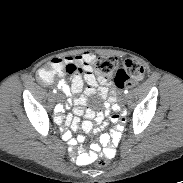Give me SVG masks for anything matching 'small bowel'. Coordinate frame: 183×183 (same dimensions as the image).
<instances>
[{
    "label": "small bowel",
    "instance_id": "c3829d8e",
    "mask_svg": "<svg viewBox=\"0 0 183 183\" xmlns=\"http://www.w3.org/2000/svg\"><path fill=\"white\" fill-rule=\"evenodd\" d=\"M96 62V56L91 52H84L77 56H68L64 58H54L44 69H54L58 73L64 72L66 68L72 74L70 84L67 85L64 81H58L57 86L66 95H78L83 91V95L77 97H69L67 106L74 104L73 114L66 117L62 116L65 112L64 105L60 102L52 104L51 109L55 117V122L59 124L58 131L61 134L60 139L69 148H73V153L76 154L75 161L77 164L84 166L89 158L95 157V152H98L101 146H104L103 152L108 160H113L116 157V151L113 146L119 141L120 136L124 134L125 129L122 126L124 123H129L133 119V114L129 110L120 109L114 104L116 100L115 88L109 89V79L103 75L96 76L93 73V67ZM54 79L48 83H53ZM86 84V86H85ZM98 94L103 100V108L100 111L89 109L85 111V106L88 97ZM85 114V120L80 122L76 116ZM119 123L112 129V134L102 133L105 127L110 123ZM94 124L97 125L95 129ZM68 126L73 131L83 130L85 132H94V141L90 145V152L87 153L86 148L77 144L84 141L82 136L74 139L71 136Z\"/></svg>",
    "mask_w": 183,
    "mask_h": 183
}]
</instances>
